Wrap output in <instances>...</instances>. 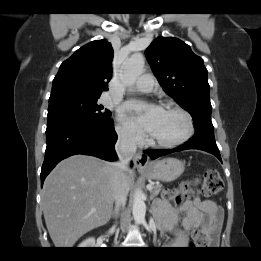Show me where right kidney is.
Returning <instances> with one entry per match:
<instances>
[{
  "instance_id": "ca27d5eb",
  "label": "right kidney",
  "mask_w": 261,
  "mask_h": 261,
  "mask_svg": "<svg viewBox=\"0 0 261 261\" xmlns=\"http://www.w3.org/2000/svg\"><path fill=\"white\" fill-rule=\"evenodd\" d=\"M94 246H95L94 238H88L79 245L80 248H93Z\"/></svg>"
}]
</instances>
